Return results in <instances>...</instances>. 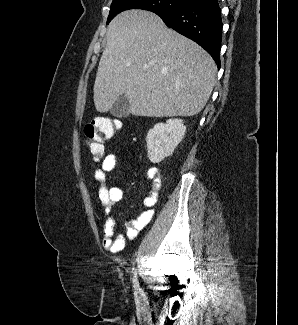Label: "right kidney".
<instances>
[{"label":"right kidney","instance_id":"1","mask_svg":"<svg viewBox=\"0 0 298 325\" xmlns=\"http://www.w3.org/2000/svg\"><path fill=\"white\" fill-rule=\"evenodd\" d=\"M186 132L182 118H168L166 122H157L146 136L147 154L151 163H161L165 156L174 152Z\"/></svg>","mask_w":298,"mask_h":325}]
</instances>
